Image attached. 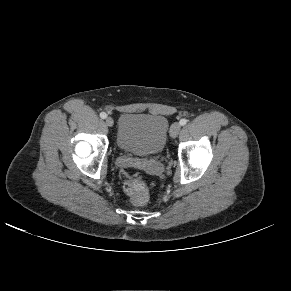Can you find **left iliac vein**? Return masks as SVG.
I'll use <instances>...</instances> for the list:
<instances>
[{"label":"left iliac vein","instance_id":"left-iliac-vein-1","mask_svg":"<svg viewBox=\"0 0 291 291\" xmlns=\"http://www.w3.org/2000/svg\"><path fill=\"white\" fill-rule=\"evenodd\" d=\"M181 130V126L179 123H174L172 126H171V130H170V136L172 138H175L179 132Z\"/></svg>","mask_w":291,"mask_h":291}]
</instances>
